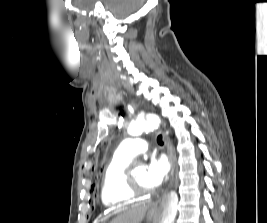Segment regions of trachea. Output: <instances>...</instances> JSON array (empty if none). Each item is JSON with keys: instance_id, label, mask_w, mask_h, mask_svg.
<instances>
[{"instance_id": "3493384b", "label": "trachea", "mask_w": 267, "mask_h": 223, "mask_svg": "<svg viewBox=\"0 0 267 223\" xmlns=\"http://www.w3.org/2000/svg\"><path fill=\"white\" fill-rule=\"evenodd\" d=\"M157 143H158L159 145H163V138H162V135H159V136L157 137Z\"/></svg>"}]
</instances>
